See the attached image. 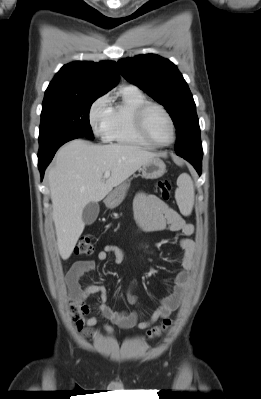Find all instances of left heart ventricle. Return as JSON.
<instances>
[{
  "instance_id": "obj_1",
  "label": "left heart ventricle",
  "mask_w": 261,
  "mask_h": 399,
  "mask_svg": "<svg viewBox=\"0 0 261 399\" xmlns=\"http://www.w3.org/2000/svg\"><path fill=\"white\" fill-rule=\"evenodd\" d=\"M145 123L147 131L153 140L159 143L170 141L172 137L170 123L159 109H150L146 114Z\"/></svg>"
}]
</instances>
